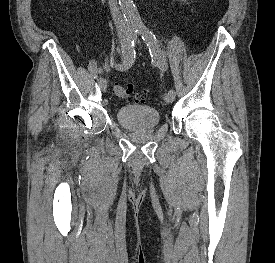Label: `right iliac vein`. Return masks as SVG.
Returning <instances> with one entry per match:
<instances>
[{
  "mask_svg": "<svg viewBox=\"0 0 275 263\" xmlns=\"http://www.w3.org/2000/svg\"><path fill=\"white\" fill-rule=\"evenodd\" d=\"M126 42H127L126 39H122V40H121V44H122V45L126 44ZM98 84H99L101 90H102L103 92H105V91H106V88H107V81H106V79L100 78V79L98 80Z\"/></svg>",
  "mask_w": 275,
  "mask_h": 263,
  "instance_id": "1",
  "label": "right iliac vein"
}]
</instances>
